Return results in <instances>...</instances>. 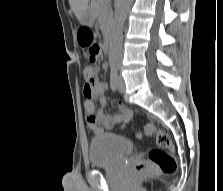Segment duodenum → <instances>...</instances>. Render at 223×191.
Wrapping results in <instances>:
<instances>
[{
	"label": "duodenum",
	"instance_id": "410a0bca",
	"mask_svg": "<svg viewBox=\"0 0 223 191\" xmlns=\"http://www.w3.org/2000/svg\"><path fill=\"white\" fill-rule=\"evenodd\" d=\"M104 47H105V51L109 52L110 51V47H111V34L108 31L105 38H104Z\"/></svg>",
	"mask_w": 223,
	"mask_h": 191
}]
</instances>
